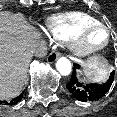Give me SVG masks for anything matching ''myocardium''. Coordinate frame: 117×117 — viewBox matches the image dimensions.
<instances>
[{
  "mask_svg": "<svg viewBox=\"0 0 117 117\" xmlns=\"http://www.w3.org/2000/svg\"><path fill=\"white\" fill-rule=\"evenodd\" d=\"M94 29H102L104 30L106 34V38L104 42L100 45L96 46H90L87 45L85 42V37L86 35L94 30ZM111 40V32L109 28L104 25L103 23L97 22V23H92L84 28H82L80 31H78L71 39H70V48L74 55L77 57H86L92 54H95L104 48H106Z\"/></svg>",
  "mask_w": 117,
  "mask_h": 117,
  "instance_id": "obj_1",
  "label": "myocardium"
}]
</instances>
